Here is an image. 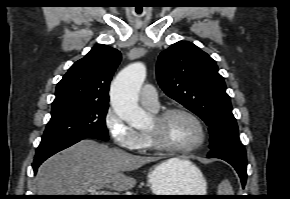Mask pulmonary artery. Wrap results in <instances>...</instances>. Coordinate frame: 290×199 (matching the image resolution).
Listing matches in <instances>:
<instances>
[{"instance_id":"e3ab8cb5","label":"pulmonary artery","mask_w":290,"mask_h":199,"mask_svg":"<svg viewBox=\"0 0 290 199\" xmlns=\"http://www.w3.org/2000/svg\"><path fill=\"white\" fill-rule=\"evenodd\" d=\"M140 103L152 110L156 111L159 105L158 95L155 87L151 84L144 85L139 92Z\"/></svg>"}]
</instances>
